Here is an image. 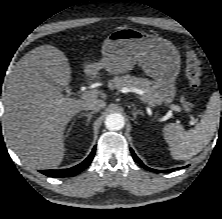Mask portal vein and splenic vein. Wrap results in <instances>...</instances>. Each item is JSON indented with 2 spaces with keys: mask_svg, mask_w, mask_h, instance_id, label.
I'll return each instance as SVG.
<instances>
[{
  "mask_svg": "<svg viewBox=\"0 0 222 219\" xmlns=\"http://www.w3.org/2000/svg\"><path fill=\"white\" fill-rule=\"evenodd\" d=\"M126 92H134L137 94H143V91L141 89L138 88H130V89H126ZM97 95V91L96 90H91V91H85L84 93H82L81 98H87V97H94ZM167 107L170 108L173 111L176 112H182V108L178 105L175 104H167ZM189 118H190V122L192 124H196L198 122V119H196L192 114H189Z\"/></svg>",
  "mask_w": 222,
  "mask_h": 219,
  "instance_id": "1",
  "label": "portal vein and splenic vein"
}]
</instances>
